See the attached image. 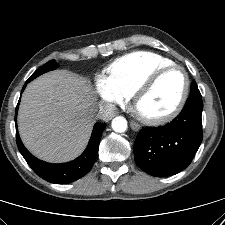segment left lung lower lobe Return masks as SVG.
Here are the masks:
<instances>
[{
	"mask_svg": "<svg viewBox=\"0 0 225 225\" xmlns=\"http://www.w3.org/2000/svg\"><path fill=\"white\" fill-rule=\"evenodd\" d=\"M202 110L201 94L190 95L172 122L142 129L134 144L136 164L156 177L175 175L188 167L202 142Z\"/></svg>",
	"mask_w": 225,
	"mask_h": 225,
	"instance_id": "1",
	"label": "left lung lower lobe"
}]
</instances>
